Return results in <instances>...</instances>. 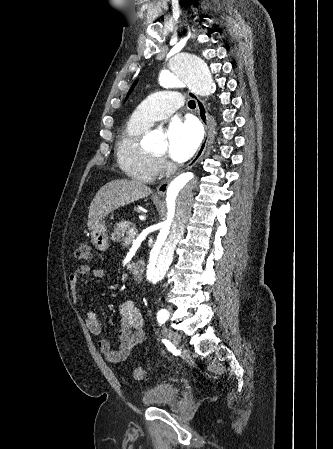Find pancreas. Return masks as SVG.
<instances>
[{
	"label": "pancreas",
	"mask_w": 333,
	"mask_h": 449,
	"mask_svg": "<svg viewBox=\"0 0 333 449\" xmlns=\"http://www.w3.org/2000/svg\"><path fill=\"white\" fill-rule=\"evenodd\" d=\"M131 228H135V225H133L129 221H120L116 224L114 227V231L112 233V241L113 242H120L122 239L125 243L131 244L135 237H132L129 235V230ZM126 233V237H124V234Z\"/></svg>",
	"instance_id": "cf45deb5"
}]
</instances>
